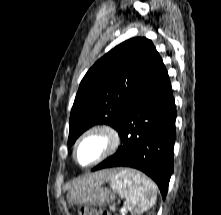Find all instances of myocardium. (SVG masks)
<instances>
[{"label":"myocardium","instance_id":"f54148a6","mask_svg":"<svg viewBox=\"0 0 221 215\" xmlns=\"http://www.w3.org/2000/svg\"><path fill=\"white\" fill-rule=\"evenodd\" d=\"M96 138L100 140V149L97 155L89 162L80 161L78 153L80 147L88 140ZM120 145V136L115 128L107 124L94 125L85 130L74 142L72 155L74 161L81 167H91L110 155H112Z\"/></svg>","mask_w":221,"mask_h":215}]
</instances>
